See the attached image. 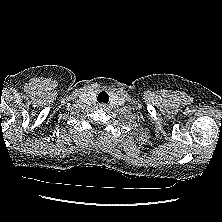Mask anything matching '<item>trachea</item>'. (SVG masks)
Listing matches in <instances>:
<instances>
[{
	"instance_id": "obj_1",
	"label": "trachea",
	"mask_w": 222,
	"mask_h": 222,
	"mask_svg": "<svg viewBox=\"0 0 222 222\" xmlns=\"http://www.w3.org/2000/svg\"><path fill=\"white\" fill-rule=\"evenodd\" d=\"M99 95H106V97H105V98L107 99L106 102H108V100H109V96L107 95V93H105V92H101ZM103 102H104V101H103ZM106 102H105V103H106Z\"/></svg>"
}]
</instances>
